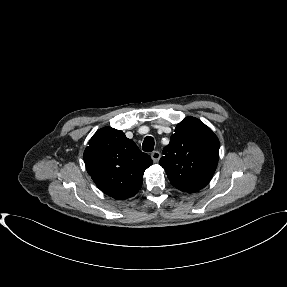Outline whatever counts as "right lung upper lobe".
<instances>
[{"instance_id":"right-lung-upper-lobe-1","label":"right lung upper lobe","mask_w":287,"mask_h":287,"mask_svg":"<svg viewBox=\"0 0 287 287\" xmlns=\"http://www.w3.org/2000/svg\"><path fill=\"white\" fill-rule=\"evenodd\" d=\"M87 172L105 194L118 200L134 196L141 188L144 171L152 165L122 131L99 129L84 151Z\"/></svg>"}]
</instances>
